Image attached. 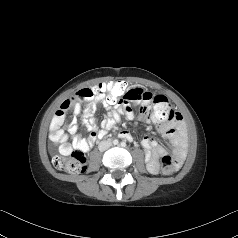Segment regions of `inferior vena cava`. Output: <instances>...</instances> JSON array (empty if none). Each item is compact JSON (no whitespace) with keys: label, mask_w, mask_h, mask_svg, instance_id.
I'll list each match as a JSON object with an SVG mask.
<instances>
[{"label":"inferior vena cava","mask_w":238,"mask_h":238,"mask_svg":"<svg viewBox=\"0 0 238 238\" xmlns=\"http://www.w3.org/2000/svg\"><path fill=\"white\" fill-rule=\"evenodd\" d=\"M112 145V143L110 141H101L98 145V148L100 151H105L107 150L110 146Z\"/></svg>","instance_id":"inferior-vena-cava-1"}]
</instances>
